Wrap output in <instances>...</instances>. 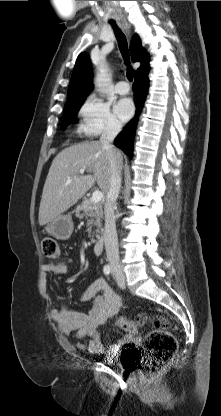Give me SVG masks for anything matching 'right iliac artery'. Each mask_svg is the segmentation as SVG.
Returning <instances> with one entry per match:
<instances>
[{"label": "right iliac artery", "instance_id": "obj_1", "mask_svg": "<svg viewBox=\"0 0 221 416\" xmlns=\"http://www.w3.org/2000/svg\"><path fill=\"white\" fill-rule=\"evenodd\" d=\"M103 272L105 275H109L111 273V267L110 265H105L103 268Z\"/></svg>", "mask_w": 221, "mask_h": 416}]
</instances>
